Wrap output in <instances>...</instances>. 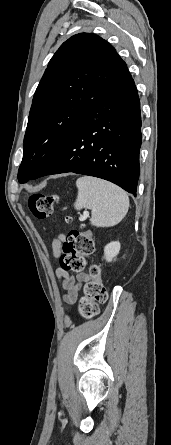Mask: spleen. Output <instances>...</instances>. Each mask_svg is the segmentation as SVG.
<instances>
[{"mask_svg": "<svg viewBox=\"0 0 171 445\" xmlns=\"http://www.w3.org/2000/svg\"><path fill=\"white\" fill-rule=\"evenodd\" d=\"M78 195L74 204L77 210H91L90 222L96 227L118 224L127 214L129 198L118 186L91 176L76 181Z\"/></svg>", "mask_w": 171, "mask_h": 445, "instance_id": "obj_1", "label": "spleen"}]
</instances>
